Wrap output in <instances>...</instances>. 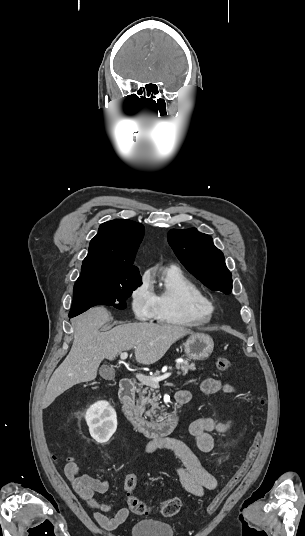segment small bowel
Returning <instances> with one entry per match:
<instances>
[{
	"label": "small bowel",
	"instance_id": "1",
	"mask_svg": "<svg viewBox=\"0 0 305 536\" xmlns=\"http://www.w3.org/2000/svg\"><path fill=\"white\" fill-rule=\"evenodd\" d=\"M201 391L206 394L233 393L234 388L219 379L207 378L201 384ZM178 394L183 396L185 402L192 398L191 392L187 390L179 391ZM224 429L223 424L211 418H198L189 425V433L193 437L192 442L169 437L150 442L147 445V451L152 453L163 449L173 452L181 462L180 465L174 466V471L181 485L190 494L202 497L206 491L217 488V480L212 471L200 460L196 450L204 453L211 452L214 448L211 433L222 432ZM64 473L73 490L87 507L93 510L94 518L100 527L111 531L125 522L131 512L128 505L120 508L112 518H109L106 513L110 510V506L100 502L95 496L96 493L104 494L109 490L110 483L107 479H97L90 475L80 474L77 463L72 460L65 464Z\"/></svg>",
	"mask_w": 305,
	"mask_h": 536
}]
</instances>
